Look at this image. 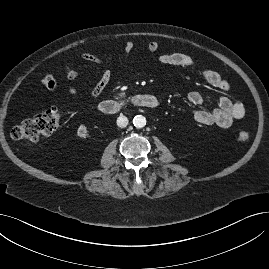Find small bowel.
<instances>
[{
  "instance_id": "c3829d8e",
  "label": "small bowel",
  "mask_w": 269,
  "mask_h": 269,
  "mask_svg": "<svg viewBox=\"0 0 269 269\" xmlns=\"http://www.w3.org/2000/svg\"><path fill=\"white\" fill-rule=\"evenodd\" d=\"M135 45L134 42L129 40L125 42L123 46V57L122 61L127 62L130 54L132 53ZM146 49L151 54H157L159 51V44L157 41H150ZM83 58L94 64H105V60L93 53L84 52ZM157 60L161 64L183 67V68H194L195 64L192 58L188 55L180 52L163 53L158 54ZM65 74L68 79H76L80 72L78 69L72 67L70 64L64 65ZM201 75L204 80L211 86L222 90L228 91V82L216 71L213 70H202ZM112 77V71L110 68L106 67L97 83L93 88L87 93L86 99H94L98 97L107 87ZM42 84L50 91H55L58 87L57 81L51 74H46L42 79ZM68 92L70 95L77 96L79 92L75 88H69ZM187 101L192 106H200L204 102V95L201 92L193 91L187 96ZM246 114L245 106L242 103L234 102L227 96H222L219 99V105L215 109L211 110H198L194 114V120L198 124L202 125H216L221 128L230 127L234 121L243 118Z\"/></svg>"
}]
</instances>
